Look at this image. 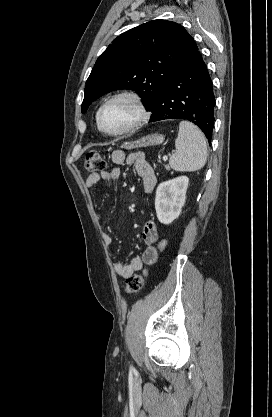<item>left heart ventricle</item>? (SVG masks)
Here are the masks:
<instances>
[{
	"mask_svg": "<svg viewBox=\"0 0 272 417\" xmlns=\"http://www.w3.org/2000/svg\"><path fill=\"white\" fill-rule=\"evenodd\" d=\"M138 117L135 104L129 99H119L110 103L102 115V125L110 132L122 130Z\"/></svg>",
	"mask_w": 272,
	"mask_h": 417,
	"instance_id": "left-heart-ventricle-1",
	"label": "left heart ventricle"
}]
</instances>
